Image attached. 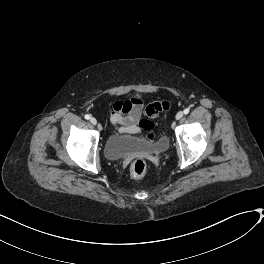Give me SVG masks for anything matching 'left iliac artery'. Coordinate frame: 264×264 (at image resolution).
Returning <instances> with one entry per match:
<instances>
[{
  "mask_svg": "<svg viewBox=\"0 0 264 264\" xmlns=\"http://www.w3.org/2000/svg\"><path fill=\"white\" fill-rule=\"evenodd\" d=\"M183 112H184V114H188L189 113V109L186 108V109H184Z\"/></svg>",
  "mask_w": 264,
  "mask_h": 264,
  "instance_id": "1",
  "label": "left iliac artery"
}]
</instances>
